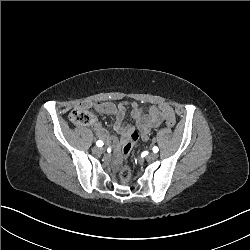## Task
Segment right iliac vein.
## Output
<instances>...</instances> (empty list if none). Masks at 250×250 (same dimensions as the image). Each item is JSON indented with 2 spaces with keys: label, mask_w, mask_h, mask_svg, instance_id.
Masks as SVG:
<instances>
[{
  "label": "right iliac vein",
  "mask_w": 250,
  "mask_h": 250,
  "mask_svg": "<svg viewBox=\"0 0 250 250\" xmlns=\"http://www.w3.org/2000/svg\"><path fill=\"white\" fill-rule=\"evenodd\" d=\"M92 151L95 153V154H100V153H103V149L95 146L94 148H92Z\"/></svg>",
  "instance_id": "right-iliac-vein-1"
}]
</instances>
